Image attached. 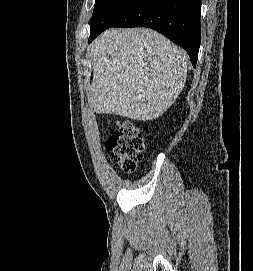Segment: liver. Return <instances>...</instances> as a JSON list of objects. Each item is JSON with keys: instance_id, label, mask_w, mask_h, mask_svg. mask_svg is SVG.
<instances>
[{"instance_id": "6515ba94", "label": "liver", "mask_w": 253, "mask_h": 271, "mask_svg": "<svg viewBox=\"0 0 253 271\" xmlns=\"http://www.w3.org/2000/svg\"><path fill=\"white\" fill-rule=\"evenodd\" d=\"M91 106L138 121L161 116L187 78V54L151 29H109L91 44Z\"/></svg>"}]
</instances>
